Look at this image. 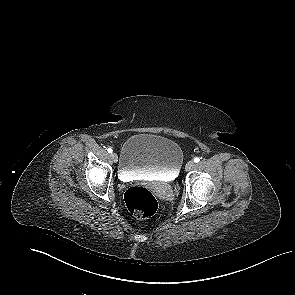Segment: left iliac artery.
<instances>
[{
  "mask_svg": "<svg viewBox=\"0 0 295 295\" xmlns=\"http://www.w3.org/2000/svg\"><path fill=\"white\" fill-rule=\"evenodd\" d=\"M200 161V159L198 157L194 158V162L198 163Z\"/></svg>",
  "mask_w": 295,
  "mask_h": 295,
  "instance_id": "1",
  "label": "left iliac artery"
}]
</instances>
